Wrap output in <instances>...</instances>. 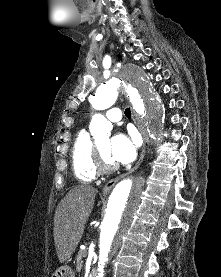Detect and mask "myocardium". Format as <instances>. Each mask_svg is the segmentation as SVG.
<instances>
[{
  "label": "myocardium",
  "instance_id": "obj_1",
  "mask_svg": "<svg viewBox=\"0 0 221 277\" xmlns=\"http://www.w3.org/2000/svg\"><path fill=\"white\" fill-rule=\"evenodd\" d=\"M94 165L98 173H111L118 168L116 163H108L97 144H94Z\"/></svg>",
  "mask_w": 221,
  "mask_h": 277
}]
</instances>
